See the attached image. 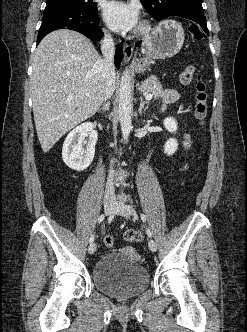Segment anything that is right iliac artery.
Instances as JSON below:
<instances>
[{
    "mask_svg": "<svg viewBox=\"0 0 247 332\" xmlns=\"http://www.w3.org/2000/svg\"><path fill=\"white\" fill-rule=\"evenodd\" d=\"M104 218H105L104 214L100 215L99 218H98V223H101L104 220ZM94 239H95V235L93 234L90 237L89 242L93 243Z\"/></svg>",
    "mask_w": 247,
    "mask_h": 332,
    "instance_id": "82829eb1",
    "label": "right iliac artery"
}]
</instances>
